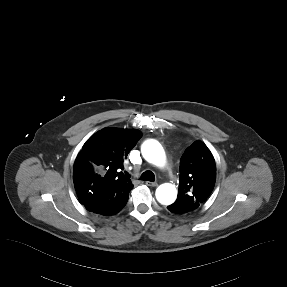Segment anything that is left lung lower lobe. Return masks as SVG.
<instances>
[{
	"label": "left lung lower lobe",
	"instance_id": "0a47b994",
	"mask_svg": "<svg viewBox=\"0 0 287 287\" xmlns=\"http://www.w3.org/2000/svg\"><path fill=\"white\" fill-rule=\"evenodd\" d=\"M167 208L173 213H185L181 208L177 207L174 203L172 205H169Z\"/></svg>",
	"mask_w": 287,
	"mask_h": 287
}]
</instances>
